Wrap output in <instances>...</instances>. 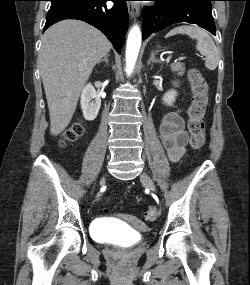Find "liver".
Here are the masks:
<instances>
[{"mask_svg": "<svg viewBox=\"0 0 250 285\" xmlns=\"http://www.w3.org/2000/svg\"><path fill=\"white\" fill-rule=\"evenodd\" d=\"M110 49L109 40L82 21L64 20L46 30L38 65L52 135H59L68 126L94 66Z\"/></svg>", "mask_w": 250, "mask_h": 285, "instance_id": "6515ba94", "label": "liver"}]
</instances>
